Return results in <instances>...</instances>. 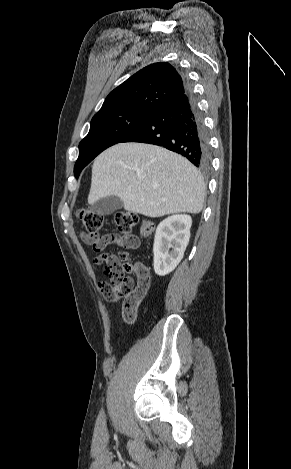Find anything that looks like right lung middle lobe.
Instances as JSON below:
<instances>
[{
    "mask_svg": "<svg viewBox=\"0 0 291 469\" xmlns=\"http://www.w3.org/2000/svg\"><path fill=\"white\" fill-rule=\"evenodd\" d=\"M153 113L148 110H125L91 120L88 135L79 144V157L74 167L77 178L81 170L106 148L121 142L142 125Z\"/></svg>",
    "mask_w": 291,
    "mask_h": 469,
    "instance_id": "obj_1",
    "label": "right lung middle lobe"
}]
</instances>
